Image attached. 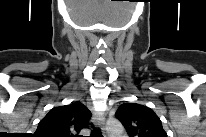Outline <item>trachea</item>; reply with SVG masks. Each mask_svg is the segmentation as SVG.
<instances>
[{
	"instance_id": "trachea-1",
	"label": "trachea",
	"mask_w": 206,
	"mask_h": 137,
	"mask_svg": "<svg viewBox=\"0 0 206 137\" xmlns=\"http://www.w3.org/2000/svg\"><path fill=\"white\" fill-rule=\"evenodd\" d=\"M90 137H103V136L101 135V132H100L99 129H95V128H94V130H93V132L91 133V136H90Z\"/></svg>"
}]
</instances>
